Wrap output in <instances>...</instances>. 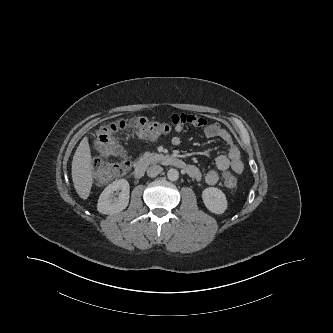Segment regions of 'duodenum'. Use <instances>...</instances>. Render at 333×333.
Instances as JSON below:
<instances>
[{
	"label": "duodenum",
	"instance_id": "410a0bca",
	"mask_svg": "<svg viewBox=\"0 0 333 333\" xmlns=\"http://www.w3.org/2000/svg\"><path fill=\"white\" fill-rule=\"evenodd\" d=\"M158 163L165 166H172L179 169L189 171L190 165L180 158L171 155H149L140 158L134 165L133 175L135 178H140L144 175L149 165Z\"/></svg>",
	"mask_w": 333,
	"mask_h": 333
}]
</instances>
